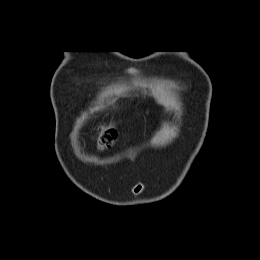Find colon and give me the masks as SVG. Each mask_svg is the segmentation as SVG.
<instances>
[{"mask_svg":"<svg viewBox=\"0 0 260 260\" xmlns=\"http://www.w3.org/2000/svg\"><path fill=\"white\" fill-rule=\"evenodd\" d=\"M118 132L114 124H104L99 128L98 147L100 150L108 149L117 139Z\"/></svg>","mask_w":260,"mask_h":260,"instance_id":"colon-1","label":"colon"}]
</instances>
